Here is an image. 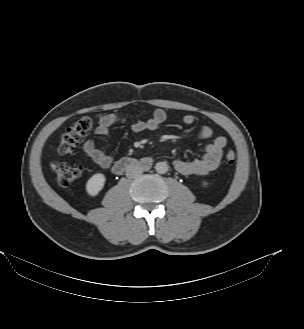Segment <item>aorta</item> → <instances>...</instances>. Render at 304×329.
Listing matches in <instances>:
<instances>
[{"instance_id":"obj_1","label":"aorta","mask_w":304,"mask_h":329,"mask_svg":"<svg viewBox=\"0 0 304 329\" xmlns=\"http://www.w3.org/2000/svg\"><path fill=\"white\" fill-rule=\"evenodd\" d=\"M155 170L159 174H165L168 171V165L166 162H157L155 164Z\"/></svg>"}]
</instances>
